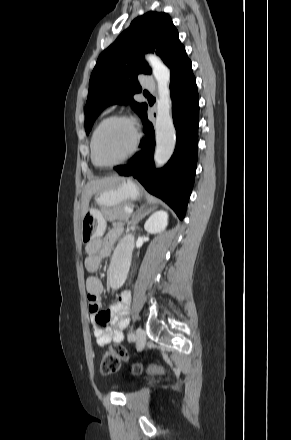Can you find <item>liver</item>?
<instances>
[{"label": "liver", "instance_id": "1", "mask_svg": "<svg viewBox=\"0 0 291 440\" xmlns=\"http://www.w3.org/2000/svg\"><path fill=\"white\" fill-rule=\"evenodd\" d=\"M121 179V177L115 175L88 182L82 195V215L84 216L87 212L89 201L94 193L113 187Z\"/></svg>", "mask_w": 291, "mask_h": 440}]
</instances>
